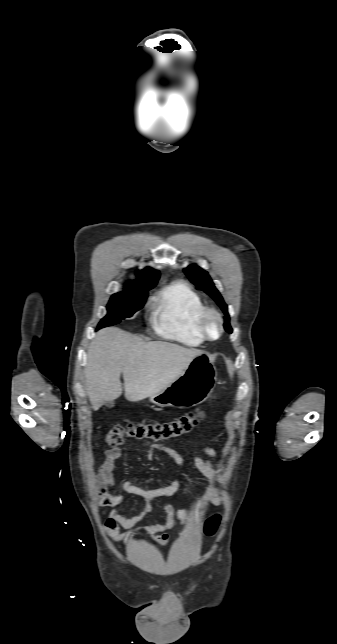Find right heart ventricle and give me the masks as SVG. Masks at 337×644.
I'll return each instance as SVG.
<instances>
[{
    "mask_svg": "<svg viewBox=\"0 0 337 644\" xmlns=\"http://www.w3.org/2000/svg\"><path fill=\"white\" fill-rule=\"evenodd\" d=\"M154 301L152 326L157 334L188 346L204 343L197 322L205 307L190 285L173 281L162 288Z\"/></svg>",
    "mask_w": 337,
    "mask_h": 644,
    "instance_id": "1",
    "label": "right heart ventricle"
}]
</instances>
